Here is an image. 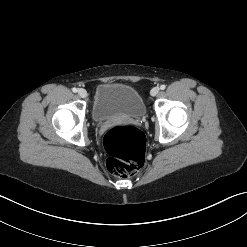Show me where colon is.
Here are the masks:
<instances>
[{
  "instance_id": "1",
  "label": "colon",
  "mask_w": 247,
  "mask_h": 247,
  "mask_svg": "<svg viewBox=\"0 0 247 247\" xmlns=\"http://www.w3.org/2000/svg\"><path fill=\"white\" fill-rule=\"evenodd\" d=\"M103 144L107 169L112 175L127 178L143 166L145 137L139 129L128 125L114 126L105 133Z\"/></svg>"
}]
</instances>
